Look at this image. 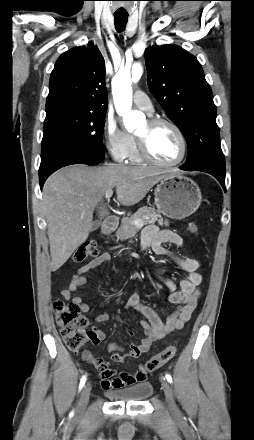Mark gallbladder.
Returning a JSON list of instances; mask_svg holds the SVG:
<instances>
[{
    "instance_id": "obj_1",
    "label": "gallbladder",
    "mask_w": 254,
    "mask_h": 440,
    "mask_svg": "<svg viewBox=\"0 0 254 440\" xmlns=\"http://www.w3.org/2000/svg\"><path fill=\"white\" fill-rule=\"evenodd\" d=\"M100 225H101V221L99 219L95 220L93 222L92 231L98 229L100 227Z\"/></svg>"
}]
</instances>
